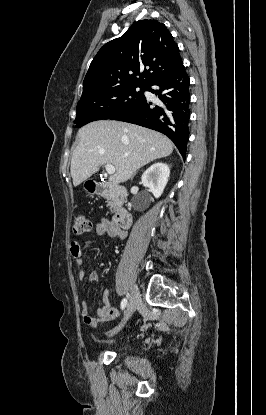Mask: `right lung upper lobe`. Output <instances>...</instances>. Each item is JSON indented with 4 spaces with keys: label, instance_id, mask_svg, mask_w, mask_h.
<instances>
[{
    "label": "right lung upper lobe",
    "instance_id": "1",
    "mask_svg": "<svg viewBox=\"0 0 266 415\" xmlns=\"http://www.w3.org/2000/svg\"><path fill=\"white\" fill-rule=\"evenodd\" d=\"M182 65L166 26L157 20L138 21L99 50L83 81L81 99L120 86L147 87Z\"/></svg>",
    "mask_w": 266,
    "mask_h": 415
}]
</instances>
